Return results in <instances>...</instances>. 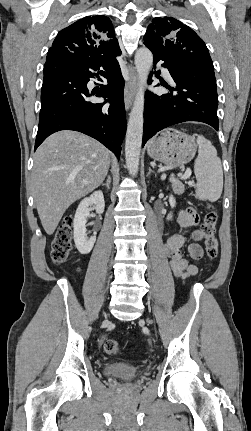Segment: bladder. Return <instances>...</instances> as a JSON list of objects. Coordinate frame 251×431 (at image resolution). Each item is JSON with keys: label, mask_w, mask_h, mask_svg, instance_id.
<instances>
[{"label": "bladder", "mask_w": 251, "mask_h": 431, "mask_svg": "<svg viewBox=\"0 0 251 431\" xmlns=\"http://www.w3.org/2000/svg\"><path fill=\"white\" fill-rule=\"evenodd\" d=\"M103 374L108 377L132 379L139 377L141 372L131 364L116 362L106 365Z\"/></svg>", "instance_id": "31cf9c89"}]
</instances>
